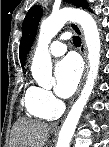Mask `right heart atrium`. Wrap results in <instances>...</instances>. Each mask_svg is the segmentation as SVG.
I'll return each instance as SVG.
<instances>
[{
    "instance_id": "1",
    "label": "right heart atrium",
    "mask_w": 109,
    "mask_h": 147,
    "mask_svg": "<svg viewBox=\"0 0 109 147\" xmlns=\"http://www.w3.org/2000/svg\"><path fill=\"white\" fill-rule=\"evenodd\" d=\"M38 100L44 107L50 110H56L59 105L55 96L52 94L50 90H47V89L39 88Z\"/></svg>"
}]
</instances>
